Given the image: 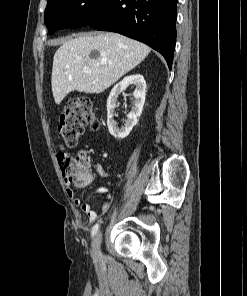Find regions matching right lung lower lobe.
<instances>
[{"label":"right lung lower lobe","instance_id":"obj_1","mask_svg":"<svg viewBox=\"0 0 247 296\" xmlns=\"http://www.w3.org/2000/svg\"><path fill=\"white\" fill-rule=\"evenodd\" d=\"M178 0H105L87 24L141 41L166 59L171 69L176 43Z\"/></svg>","mask_w":247,"mask_h":296}]
</instances>
